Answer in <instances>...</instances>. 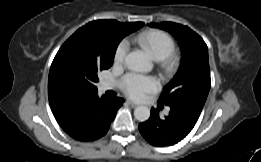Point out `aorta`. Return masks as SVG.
<instances>
[{"instance_id": "aorta-1", "label": "aorta", "mask_w": 261, "mask_h": 162, "mask_svg": "<svg viewBox=\"0 0 261 162\" xmlns=\"http://www.w3.org/2000/svg\"><path fill=\"white\" fill-rule=\"evenodd\" d=\"M125 65L129 70L136 72H147L152 68L149 59L138 51L130 52L126 56ZM134 116L138 121L144 122L150 117V109L146 106H138L134 110Z\"/></svg>"}]
</instances>
